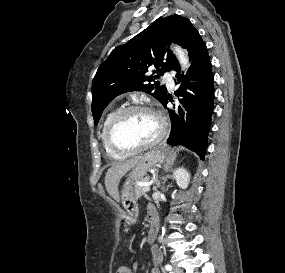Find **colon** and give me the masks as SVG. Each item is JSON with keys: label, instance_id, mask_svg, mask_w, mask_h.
I'll list each match as a JSON object with an SVG mask.
<instances>
[{"label": "colon", "instance_id": "1", "mask_svg": "<svg viewBox=\"0 0 285 273\" xmlns=\"http://www.w3.org/2000/svg\"><path fill=\"white\" fill-rule=\"evenodd\" d=\"M127 270L123 267H119L116 273H126Z\"/></svg>", "mask_w": 285, "mask_h": 273}]
</instances>
